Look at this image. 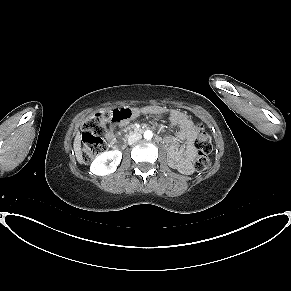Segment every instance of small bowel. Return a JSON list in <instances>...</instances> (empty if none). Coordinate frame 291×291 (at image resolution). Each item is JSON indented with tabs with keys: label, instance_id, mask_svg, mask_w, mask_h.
Masks as SVG:
<instances>
[{
	"label": "small bowel",
	"instance_id": "1",
	"mask_svg": "<svg viewBox=\"0 0 291 291\" xmlns=\"http://www.w3.org/2000/svg\"><path fill=\"white\" fill-rule=\"evenodd\" d=\"M140 114H167L172 126H177L178 139L185 142L183 149L179 148L171 137H167L165 142L172 162L179 168L182 173L189 174L192 172L191 161L196 156L195 141L197 129L191 119L184 112L178 109H169L158 105H149L142 108H133L130 118H137ZM130 118L114 122L106 133V140L112 144L115 137V127H122L128 124Z\"/></svg>",
	"mask_w": 291,
	"mask_h": 291
}]
</instances>
